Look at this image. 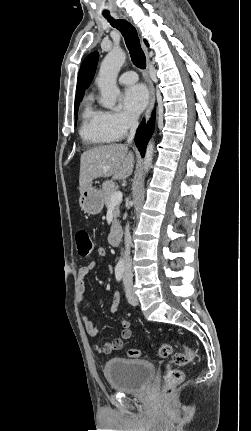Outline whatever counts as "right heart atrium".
Segmentation results:
<instances>
[{"label": "right heart atrium", "mask_w": 251, "mask_h": 431, "mask_svg": "<svg viewBox=\"0 0 251 431\" xmlns=\"http://www.w3.org/2000/svg\"><path fill=\"white\" fill-rule=\"evenodd\" d=\"M105 123L109 132L116 139L124 137L137 126L136 118L125 111H106Z\"/></svg>", "instance_id": "right-heart-atrium-1"}]
</instances>
